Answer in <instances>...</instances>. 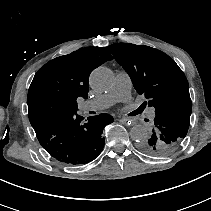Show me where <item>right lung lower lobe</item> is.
<instances>
[{
	"instance_id": "right-lung-lower-lobe-1",
	"label": "right lung lower lobe",
	"mask_w": 211,
	"mask_h": 211,
	"mask_svg": "<svg viewBox=\"0 0 211 211\" xmlns=\"http://www.w3.org/2000/svg\"><path fill=\"white\" fill-rule=\"evenodd\" d=\"M114 121L102 113L83 117L76 112L33 126L41 146L56 160L68 165L86 164L101 153L105 138L103 128Z\"/></svg>"
}]
</instances>
